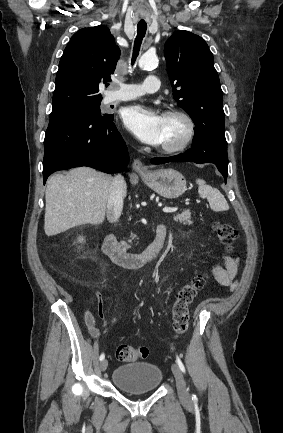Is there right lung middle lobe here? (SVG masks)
<instances>
[{"label": "right lung middle lobe", "instance_id": "obj_1", "mask_svg": "<svg viewBox=\"0 0 283 433\" xmlns=\"http://www.w3.org/2000/svg\"><path fill=\"white\" fill-rule=\"evenodd\" d=\"M100 103L101 101L84 104L66 111L51 114L50 118H58V117H65V116H71L76 114H87V113L101 114ZM102 115L107 116V114H102Z\"/></svg>", "mask_w": 283, "mask_h": 433}]
</instances>
